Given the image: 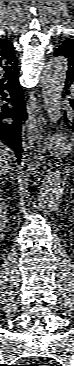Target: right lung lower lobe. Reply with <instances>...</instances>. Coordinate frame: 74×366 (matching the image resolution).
Returning a JSON list of instances; mask_svg holds the SVG:
<instances>
[{
	"label": "right lung lower lobe",
	"instance_id": "1",
	"mask_svg": "<svg viewBox=\"0 0 74 366\" xmlns=\"http://www.w3.org/2000/svg\"><path fill=\"white\" fill-rule=\"evenodd\" d=\"M10 95L11 98L6 97ZM2 100L8 101L3 105ZM27 119L23 90L19 81L0 87V142L6 143L14 152L17 161L22 156V131Z\"/></svg>",
	"mask_w": 74,
	"mask_h": 366
}]
</instances>
